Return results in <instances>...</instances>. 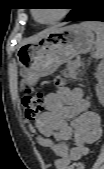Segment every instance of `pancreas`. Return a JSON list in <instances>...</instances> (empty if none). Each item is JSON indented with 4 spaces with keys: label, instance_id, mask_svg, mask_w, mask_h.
Here are the masks:
<instances>
[{
    "label": "pancreas",
    "instance_id": "obj_1",
    "mask_svg": "<svg viewBox=\"0 0 104 169\" xmlns=\"http://www.w3.org/2000/svg\"><path fill=\"white\" fill-rule=\"evenodd\" d=\"M80 66H81L80 61H74V62H71V63H70V68H71L73 71H76L77 69H79Z\"/></svg>",
    "mask_w": 104,
    "mask_h": 169
}]
</instances>
